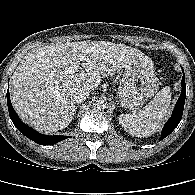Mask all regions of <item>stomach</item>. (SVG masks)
Returning <instances> with one entry per match:
<instances>
[{
	"label": "stomach",
	"instance_id": "0dacf381",
	"mask_svg": "<svg viewBox=\"0 0 195 195\" xmlns=\"http://www.w3.org/2000/svg\"><path fill=\"white\" fill-rule=\"evenodd\" d=\"M159 79L155 67L148 57L138 58L127 66L123 73L118 95L125 109H139L158 90Z\"/></svg>",
	"mask_w": 195,
	"mask_h": 195
}]
</instances>
